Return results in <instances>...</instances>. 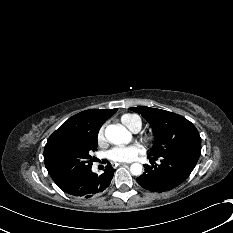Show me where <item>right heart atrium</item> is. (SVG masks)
Instances as JSON below:
<instances>
[{
    "label": "right heart atrium",
    "instance_id": "1",
    "mask_svg": "<svg viewBox=\"0 0 233 233\" xmlns=\"http://www.w3.org/2000/svg\"><path fill=\"white\" fill-rule=\"evenodd\" d=\"M97 141L100 145L104 144L106 139H105V129L104 127H101L97 133Z\"/></svg>",
    "mask_w": 233,
    "mask_h": 233
}]
</instances>
